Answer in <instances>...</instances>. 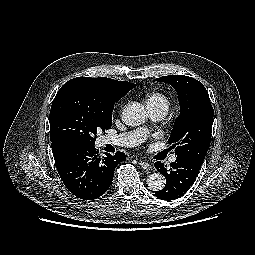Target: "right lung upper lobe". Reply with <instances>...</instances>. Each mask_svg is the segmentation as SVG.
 Instances as JSON below:
<instances>
[{
  "instance_id": "obj_1",
  "label": "right lung upper lobe",
  "mask_w": 255,
  "mask_h": 255,
  "mask_svg": "<svg viewBox=\"0 0 255 255\" xmlns=\"http://www.w3.org/2000/svg\"><path fill=\"white\" fill-rule=\"evenodd\" d=\"M101 86L112 94H123L135 87V84L126 81H117L110 78L99 80ZM125 93V94H126Z\"/></svg>"
}]
</instances>
